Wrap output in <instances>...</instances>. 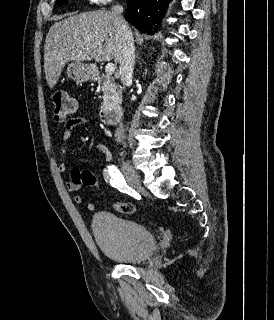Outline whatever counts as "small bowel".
I'll use <instances>...</instances> for the list:
<instances>
[{"mask_svg": "<svg viewBox=\"0 0 274 320\" xmlns=\"http://www.w3.org/2000/svg\"><path fill=\"white\" fill-rule=\"evenodd\" d=\"M76 105V102H75ZM87 123V119L84 117H74L71 118L70 120H68L63 128L62 131V135H61V143H60V148H59V154H60V160L58 163V171L63 173L67 170L68 165H67V145L68 142L70 140V138L72 137L73 131L75 128L79 127V126H83ZM95 149L104 153L105 154V163L106 164H110L112 161V157L109 154L107 148L103 145H96ZM84 171L85 173H87L88 175H93L90 171L88 170H81ZM82 186V184H77L74 182H67L66 183V188L69 191H77L79 190ZM85 201L84 197L81 195H77L75 196V202L77 204H83ZM85 208L87 211L92 212L95 209V206L92 202H87L85 204Z\"/></svg>", "mask_w": 274, "mask_h": 320, "instance_id": "small-bowel-1", "label": "small bowel"}]
</instances>
